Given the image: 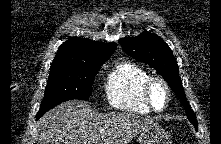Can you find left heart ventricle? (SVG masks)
Segmentation results:
<instances>
[{
    "label": "left heart ventricle",
    "mask_w": 221,
    "mask_h": 144,
    "mask_svg": "<svg viewBox=\"0 0 221 144\" xmlns=\"http://www.w3.org/2000/svg\"><path fill=\"white\" fill-rule=\"evenodd\" d=\"M151 98L156 108L161 109L164 107L166 103V92L162 85L157 83L152 87Z\"/></svg>",
    "instance_id": "b2bd125f"
}]
</instances>
